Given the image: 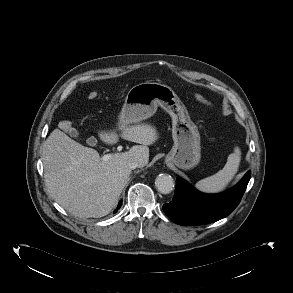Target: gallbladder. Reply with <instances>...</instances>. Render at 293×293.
<instances>
[{
	"label": "gallbladder",
	"instance_id": "bac80fb5",
	"mask_svg": "<svg viewBox=\"0 0 293 293\" xmlns=\"http://www.w3.org/2000/svg\"><path fill=\"white\" fill-rule=\"evenodd\" d=\"M69 135L71 136V137H73V138H78V136H79V133L77 132V130H75V129H71V130H69ZM95 141V138L94 137H91L90 138V142H94Z\"/></svg>",
	"mask_w": 293,
	"mask_h": 293
}]
</instances>
